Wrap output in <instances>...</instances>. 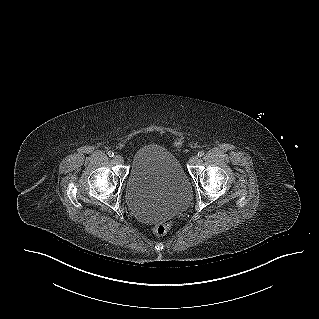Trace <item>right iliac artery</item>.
I'll return each mask as SVG.
<instances>
[{"label":"right iliac artery","instance_id":"obj_1","mask_svg":"<svg viewBox=\"0 0 319 319\" xmlns=\"http://www.w3.org/2000/svg\"><path fill=\"white\" fill-rule=\"evenodd\" d=\"M108 156H109V157H113V156H114V152H113V151H109V152H108Z\"/></svg>","mask_w":319,"mask_h":319}]
</instances>
